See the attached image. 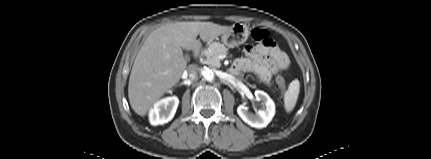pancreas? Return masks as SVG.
<instances>
[{
	"label": "pancreas",
	"instance_id": "obj_1",
	"mask_svg": "<svg viewBox=\"0 0 431 159\" xmlns=\"http://www.w3.org/2000/svg\"><path fill=\"white\" fill-rule=\"evenodd\" d=\"M228 53V48H226L223 44L214 42L212 43L207 50L202 52V56H204V63L214 67H220V55H226Z\"/></svg>",
	"mask_w": 431,
	"mask_h": 159
}]
</instances>
